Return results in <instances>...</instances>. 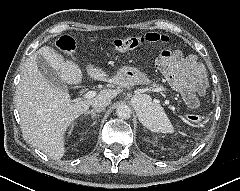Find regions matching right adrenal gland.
<instances>
[{"mask_svg": "<svg viewBox=\"0 0 240 191\" xmlns=\"http://www.w3.org/2000/svg\"><path fill=\"white\" fill-rule=\"evenodd\" d=\"M103 110H89V111H87L86 113H85V115H91V118L93 119V120H95L96 118H97V113H100V112H102ZM94 123H96V121L94 122Z\"/></svg>", "mask_w": 240, "mask_h": 191, "instance_id": "obj_1", "label": "right adrenal gland"}]
</instances>
